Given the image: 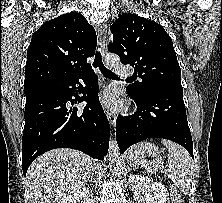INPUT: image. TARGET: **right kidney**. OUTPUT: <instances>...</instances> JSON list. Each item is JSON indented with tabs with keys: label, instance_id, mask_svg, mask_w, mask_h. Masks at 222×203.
<instances>
[{
	"label": "right kidney",
	"instance_id": "right-kidney-1",
	"mask_svg": "<svg viewBox=\"0 0 222 203\" xmlns=\"http://www.w3.org/2000/svg\"><path fill=\"white\" fill-rule=\"evenodd\" d=\"M93 193L89 188H82L68 196L63 203H92Z\"/></svg>",
	"mask_w": 222,
	"mask_h": 203
}]
</instances>
